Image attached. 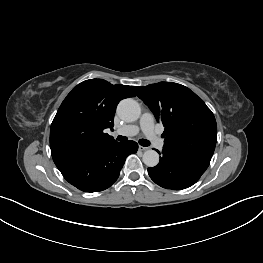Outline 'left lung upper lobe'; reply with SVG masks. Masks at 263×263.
<instances>
[{"label": "left lung upper lobe", "instance_id": "1", "mask_svg": "<svg viewBox=\"0 0 263 263\" xmlns=\"http://www.w3.org/2000/svg\"><path fill=\"white\" fill-rule=\"evenodd\" d=\"M132 88L165 127L163 149L210 163L217 125L213 113L200 97L173 82Z\"/></svg>", "mask_w": 263, "mask_h": 263}]
</instances>
